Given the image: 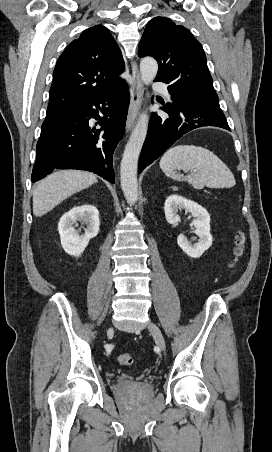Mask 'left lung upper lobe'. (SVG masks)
Returning <instances> with one entry per match:
<instances>
[{"label": "left lung upper lobe", "instance_id": "1", "mask_svg": "<svg viewBox=\"0 0 272 452\" xmlns=\"http://www.w3.org/2000/svg\"><path fill=\"white\" fill-rule=\"evenodd\" d=\"M138 55L157 60L155 80L169 84L168 90L218 99L204 50L185 27L165 17L153 18L145 28Z\"/></svg>", "mask_w": 272, "mask_h": 452}]
</instances>
